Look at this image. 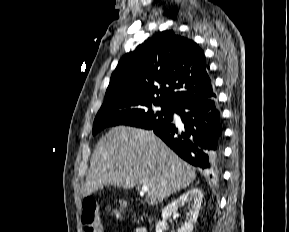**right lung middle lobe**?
<instances>
[{"label": "right lung middle lobe", "mask_w": 289, "mask_h": 232, "mask_svg": "<svg viewBox=\"0 0 289 232\" xmlns=\"http://www.w3.org/2000/svg\"><path fill=\"white\" fill-rule=\"evenodd\" d=\"M160 107V110L156 108ZM175 108L134 97L105 99L93 125V134L108 126L125 125L144 129L167 124L173 119Z\"/></svg>", "instance_id": "obj_1"}]
</instances>
